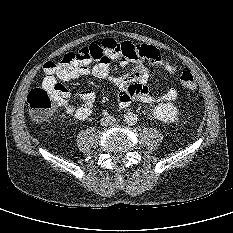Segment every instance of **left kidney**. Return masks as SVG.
<instances>
[{
    "instance_id": "obj_1",
    "label": "left kidney",
    "mask_w": 233,
    "mask_h": 233,
    "mask_svg": "<svg viewBox=\"0 0 233 233\" xmlns=\"http://www.w3.org/2000/svg\"><path fill=\"white\" fill-rule=\"evenodd\" d=\"M153 116L165 123L174 122L178 116V110L173 103H160L153 109Z\"/></svg>"
}]
</instances>
